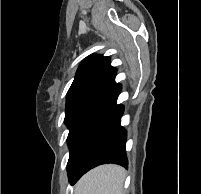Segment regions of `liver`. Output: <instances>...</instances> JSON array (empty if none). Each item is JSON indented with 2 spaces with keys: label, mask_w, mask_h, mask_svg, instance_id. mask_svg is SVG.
<instances>
[{
  "label": "liver",
  "mask_w": 201,
  "mask_h": 194,
  "mask_svg": "<svg viewBox=\"0 0 201 194\" xmlns=\"http://www.w3.org/2000/svg\"><path fill=\"white\" fill-rule=\"evenodd\" d=\"M125 170L115 164L96 167L76 184L75 194H123Z\"/></svg>",
  "instance_id": "obj_1"
}]
</instances>
